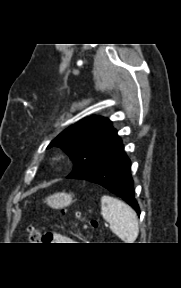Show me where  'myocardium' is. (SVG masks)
Wrapping results in <instances>:
<instances>
[{
  "label": "myocardium",
  "mask_w": 181,
  "mask_h": 288,
  "mask_svg": "<svg viewBox=\"0 0 181 288\" xmlns=\"http://www.w3.org/2000/svg\"><path fill=\"white\" fill-rule=\"evenodd\" d=\"M63 163V158L60 155H55L50 159L52 167H59Z\"/></svg>",
  "instance_id": "obj_1"
}]
</instances>
